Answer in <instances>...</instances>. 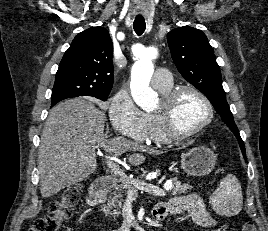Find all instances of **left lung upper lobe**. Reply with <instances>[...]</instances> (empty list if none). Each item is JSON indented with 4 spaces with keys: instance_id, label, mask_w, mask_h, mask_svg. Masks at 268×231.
Masks as SVG:
<instances>
[{
    "instance_id": "left-lung-upper-lobe-1",
    "label": "left lung upper lobe",
    "mask_w": 268,
    "mask_h": 231,
    "mask_svg": "<svg viewBox=\"0 0 268 231\" xmlns=\"http://www.w3.org/2000/svg\"><path fill=\"white\" fill-rule=\"evenodd\" d=\"M172 59L181 75L210 100L223 122L244 147L222 87L220 67L206 35L193 27L183 26L167 34Z\"/></svg>"
}]
</instances>
